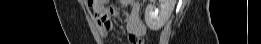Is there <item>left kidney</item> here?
I'll use <instances>...</instances> for the list:
<instances>
[{"label": "left kidney", "mask_w": 261, "mask_h": 44, "mask_svg": "<svg viewBox=\"0 0 261 44\" xmlns=\"http://www.w3.org/2000/svg\"><path fill=\"white\" fill-rule=\"evenodd\" d=\"M175 0H159V9L149 4L145 10V21L152 31L160 30L169 19L175 5Z\"/></svg>", "instance_id": "5707ae66"}]
</instances>
